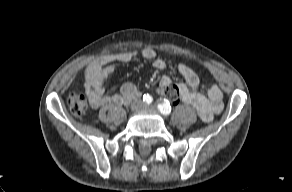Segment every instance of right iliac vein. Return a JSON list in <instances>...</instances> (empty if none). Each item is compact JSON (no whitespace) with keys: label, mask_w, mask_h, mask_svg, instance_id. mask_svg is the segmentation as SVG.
Segmentation results:
<instances>
[{"label":"right iliac vein","mask_w":292,"mask_h":192,"mask_svg":"<svg viewBox=\"0 0 292 192\" xmlns=\"http://www.w3.org/2000/svg\"><path fill=\"white\" fill-rule=\"evenodd\" d=\"M142 104L140 102H136L132 105V110L133 111H138L139 109H141Z\"/></svg>","instance_id":"obj_1"}]
</instances>
